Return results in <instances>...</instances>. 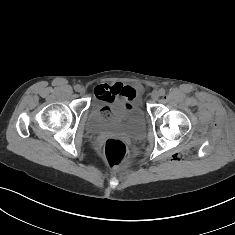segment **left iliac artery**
Wrapping results in <instances>:
<instances>
[{
	"label": "left iliac artery",
	"instance_id": "1",
	"mask_svg": "<svg viewBox=\"0 0 235 235\" xmlns=\"http://www.w3.org/2000/svg\"><path fill=\"white\" fill-rule=\"evenodd\" d=\"M159 94H160V96H164L165 95V90L163 88H161L159 90Z\"/></svg>",
	"mask_w": 235,
	"mask_h": 235
}]
</instances>
